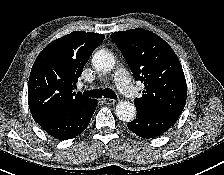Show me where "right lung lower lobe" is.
Wrapping results in <instances>:
<instances>
[{
  "label": "right lung lower lobe",
  "instance_id": "obj_1",
  "mask_svg": "<svg viewBox=\"0 0 224 175\" xmlns=\"http://www.w3.org/2000/svg\"><path fill=\"white\" fill-rule=\"evenodd\" d=\"M97 101L74 110L61 112L50 119L38 123L51 136L67 140L78 136L88 126Z\"/></svg>",
  "mask_w": 224,
  "mask_h": 175
}]
</instances>
